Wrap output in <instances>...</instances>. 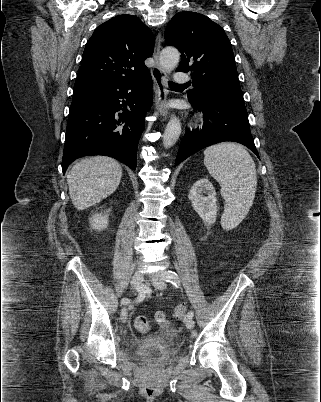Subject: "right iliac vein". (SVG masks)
I'll return each mask as SVG.
<instances>
[{
    "label": "right iliac vein",
    "instance_id": "obj_1",
    "mask_svg": "<svg viewBox=\"0 0 321 402\" xmlns=\"http://www.w3.org/2000/svg\"><path fill=\"white\" fill-rule=\"evenodd\" d=\"M143 281V273L141 271H136L132 277V287L134 289H138L139 285L142 283ZM121 320L123 322L127 321V317H128V312L126 308H123L121 310V314H120Z\"/></svg>",
    "mask_w": 321,
    "mask_h": 402
}]
</instances>
